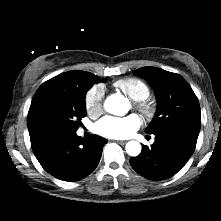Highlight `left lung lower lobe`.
Returning <instances> with one entry per match:
<instances>
[{
  "instance_id": "1",
  "label": "left lung lower lobe",
  "mask_w": 221,
  "mask_h": 221,
  "mask_svg": "<svg viewBox=\"0 0 221 221\" xmlns=\"http://www.w3.org/2000/svg\"><path fill=\"white\" fill-rule=\"evenodd\" d=\"M151 147H142L139 156L130 159L132 168L151 180H163L176 174L193 154L199 131L185 126H169L156 133Z\"/></svg>"
}]
</instances>
